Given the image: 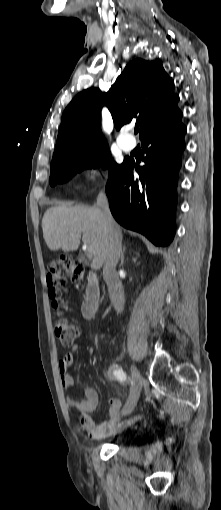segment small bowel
I'll return each mask as SVG.
<instances>
[{"mask_svg": "<svg viewBox=\"0 0 221 510\" xmlns=\"http://www.w3.org/2000/svg\"><path fill=\"white\" fill-rule=\"evenodd\" d=\"M81 349L82 345L76 343L73 346L72 352L66 353L58 362L61 385L66 390L70 389L74 384V377L69 371L74 360V352H79ZM68 405L79 413L81 426L92 439L110 436L141 417L140 414H137L130 419L121 420L122 402L118 398H110L106 419L102 423L96 424L91 418V414L99 406V393L94 387H86L83 391V398L79 400L69 399Z\"/></svg>", "mask_w": 221, "mask_h": 510, "instance_id": "c3829d8e", "label": "small bowel"}]
</instances>
